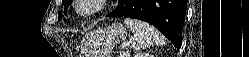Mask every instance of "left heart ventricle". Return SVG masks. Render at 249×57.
<instances>
[{"instance_id": "obj_1", "label": "left heart ventricle", "mask_w": 249, "mask_h": 57, "mask_svg": "<svg viewBox=\"0 0 249 57\" xmlns=\"http://www.w3.org/2000/svg\"><path fill=\"white\" fill-rule=\"evenodd\" d=\"M84 8H85V9H89V8H90V6H89V5H86Z\"/></svg>"}]
</instances>
